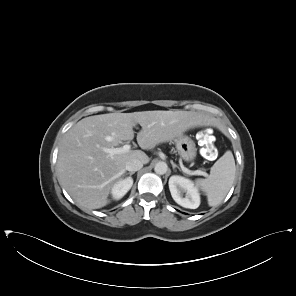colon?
I'll use <instances>...</instances> for the list:
<instances>
[{
    "instance_id": "5ec220e1",
    "label": "colon",
    "mask_w": 296,
    "mask_h": 296,
    "mask_svg": "<svg viewBox=\"0 0 296 296\" xmlns=\"http://www.w3.org/2000/svg\"><path fill=\"white\" fill-rule=\"evenodd\" d=\"M198 137L202 145L203 156L207 159H213L217 154V150L214 145L212 135L209 132L203 130L199 132Z\"/></svg>"
}]
</instances>
